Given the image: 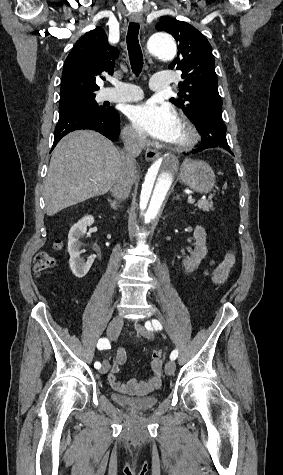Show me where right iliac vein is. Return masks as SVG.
Returning a JSON list of instances; mask_svg holds the SVG:
<instances>
[{
	"instance_id": "obj_1",
	"label": "right iliac vein",
	"mask_w": 283,
	"mask_h": 475,
	"mask_svg": "<svg viewBox=\"0 0 283 475\" xmlns=\"http://www.w3.org/2000/svg\"><path fill=\"white\" fill-rule=\"evenodd\" d=\"M123 326V318L121 316H117L112 319V321L109 323L108 328H107V336L111 340H115ZM109 370V363L107 361L103 362V365L101 367L100 373L105 374Z\"/></svg>"
}]
</instances>
